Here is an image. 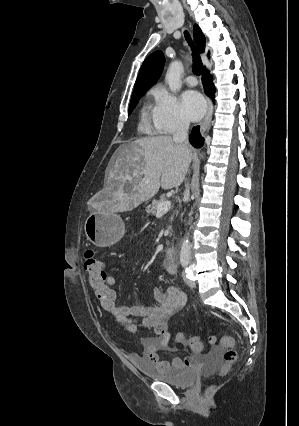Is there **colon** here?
<instances>
[{
    "label": "colon",
    "mask_w": 299,
    "mask_h": 426,
    "mask_svg": "<svg viewBox=\"0 0 299 426\" xmlns=\"http://www.w3.org/2000/svg\"><path fill=\"white\" fill-rule=\"evenodd\" d=\"M84 270L88 274V284L97 302L106 310L112 308L116 304V292L113 286L107 282V273L93 250L89 249L84 253ZM174 340L177 344H188L195 352H200L203 348L200 337L195 336L187 340L183 332H178ZM210 341L214 343L215 338H211ZM220 344L225 349L223 371H226L237 359V352L234 348L235 341L232 337L225 336L221 338Z\"/></svg>",
    "instance_id": "1"
}]
</instances>
